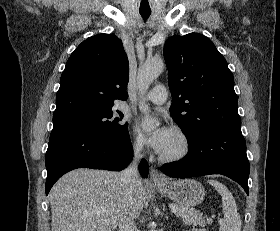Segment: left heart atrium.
I'll list each match as a JSON object with an SVG mask.
<instances>
[{
	"mask_svg": "<svg viewBox=\"0 0 280 231\" xmlns=\"http://www.w3.org/2000/svg\"><path fill=\"white\" fill-rule=\"evenodd\" d=\"M145 120L141 122V126L145 124ZM174 130L162 124L145 135L148 145L158 154H163L174 139Z\"/></svg>",
	"mask_w": 280,
	"mask_h": 231,
	"instance_id": "39dd6f15",
	"label": "left heart atrium"
}]
</instances>
